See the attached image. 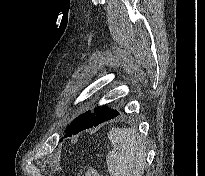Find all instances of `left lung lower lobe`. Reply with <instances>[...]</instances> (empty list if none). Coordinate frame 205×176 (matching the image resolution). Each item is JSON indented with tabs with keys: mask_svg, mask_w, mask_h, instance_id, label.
Here are the masks:
<instances>
[{
	"mask_svg": "<svg viewBox=\"0 0 205 176\" xmlns=\"http://www.w3.org/2000/svg\"><path fill=\"white\" fill-rule=\"evenodd\" d=\"M95 112L96 116L91 114L90 111H87L86 113L81 114L80 116L75 118L68 126L64 138L75 135L80 131L91 128L93 126H97L119 115V112L117 110H112L106 108L105 106L95 108Z\"/></svg>",
	"mask_w": 205,
	"mask_h": 176,
	"instance_id": "left-lung-lower-lobe-1",
	"label": "left lung lower lobe"
}]
</instances>
